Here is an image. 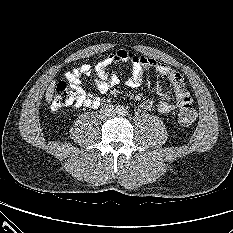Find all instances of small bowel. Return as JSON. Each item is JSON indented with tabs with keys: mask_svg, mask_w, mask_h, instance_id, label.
I'll return each mask as SVG.
<instances>
[{
	"mask_svg": "<svg viewBox=\"0 0 233 233\" xmlns=\"http://www.w3.org/2000/svg\"><path fill=\"white\" fill-rule=\"evenodd\" d=\"M122 62H127L131 66L130 76L125 81V84L130 88H138L142 84L144 70L148 68L155 70L172 86L175 102H158L157 110L160 113H169L185 104L192 103V97L184 87L183 78L176 70L152 58L139 56L131 51L121 49L109 54L95 67L83 64L66 73V79L76 92L75 106L98 108L101 105V99L85 91L81 78L83 76H95L98 91L105 94L120 83V78L116 74L108 75L105 71L106 68ZM153 105L152 100H147L141 106L143 109L148 110Z\"/></svg>",
	"mask_w": 233,
	"mask_h": 233,
	"instance_id": "obj_1",
	"label": "small bowel"
}]
</instances>
